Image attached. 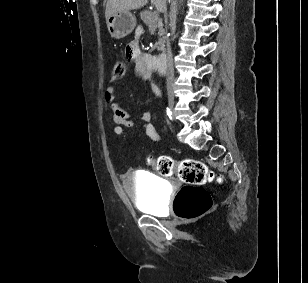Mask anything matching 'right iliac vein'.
<instances>
[{
    "label": "right iliac vein",
    "instance_id": "obj_1",
    "mask_svg": "<svg viewBox=\"0 0 308 283\" xmlns=\"http://www.w3.org/2000/svg\"><path fill=\"white\" fill-rule=\"evenodd\" d=\"M168 105H169L170 110L173 111V108H174V98L173 97L169 98Z\"/></svg>",
    "mask_w": 308,
    "mask_h": 283
}]
</instances>
